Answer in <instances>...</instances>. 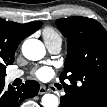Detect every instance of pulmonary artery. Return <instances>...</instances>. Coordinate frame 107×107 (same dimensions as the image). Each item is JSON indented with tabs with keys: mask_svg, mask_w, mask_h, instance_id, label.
Here are the masks:
<instances>
[{
	"mask_svg": "<svg viewBox=\"0 0 107 107\" xmlns=\"http://www.w3.org/2000/svg\"><path fill=\"white\" fill-rule=\"evenodd\" d=\"M45 43H46L48 50L51 53L56 54V53L60 52L62 40H53V41H49V42H45ZM22 75H23L22 70H13L8 73L7 79H8V81H13L17 78H20Z\"/></svg>",
	"mask_w": 107,
	"mask_h": 107,
	"instance_id": "pulmonary-artery-1",
	"label": "pulmonary artery"
}]
</instances>
